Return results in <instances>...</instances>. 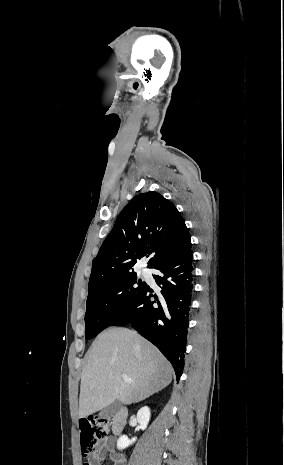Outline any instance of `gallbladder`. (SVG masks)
Masks as SVG:
<instances>
[{
  "label": "gallbladder",
  "mask_w": 284,
  "mask_h": 465,
  "mask_svg": "<svg viewBox=\"0 0 284 465\" xmlns=\"http://www.w3.org/2000/svg\"><path fill=\"white\" fill-rule=\"evenodd\" d=\"M120 407L121 401H118V399H116V401H113V403H111L109 407H106V409H103V411L99 413L100 419H111V417H114V415H116V413L120 411Z\"/></svg>",
  "instance_id": "1"
}]
</instances>
